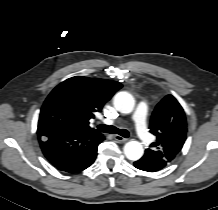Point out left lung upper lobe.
Returning a JSON list of instances; mask_svg holds the SVG:
<instances>
[{
    "label": "left lung upper lobe",
    "mask_w": 218,
    "mask_h": 210,
    "mask_svg": "<svg viewBox=\"0 0 218 210\" xmlns=\"http://www.w3.org/2000/svg\"><path fill=\"white\" fill-rule=\"evenodd\" d=\"M150 132L156 141L147 149L152 158L168 165L181 151L186 140L187 124L183 108L167 95L156 106L150 123Z\"/></svg>",
    "instance_id": "left-lung-upper-lobe-1"
}]
</instances>
